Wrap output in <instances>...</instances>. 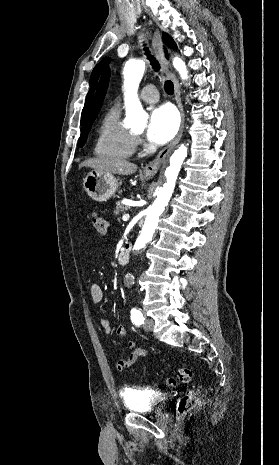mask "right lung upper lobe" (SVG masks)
<instances>
[{
	"mask_svg": "<svg viewBox=\"0 0 279 465\" xmlns=\"http://www.w3.org/2000/svg\"><path fill=\"white\" fill-rule=\"evenodd\" d=\"M109 77H110L109 68H106L98 84L97 91H96L94 100L92 102V106L90 108L86 121L81 129V132L91 127L92 123L97 117V114L99 113L101 109V106H102V103H103V100L106 94V90H107L108 83H109Z\"/></svg>",
	"mask_w": 279,
	"mask_h": 465,
	"instance_id": "right-lung-upper-lobe-1",
	"label": "right lung upper lobe"
}]
</instances>
